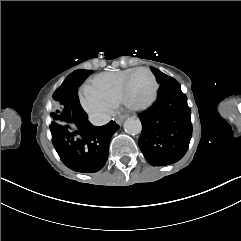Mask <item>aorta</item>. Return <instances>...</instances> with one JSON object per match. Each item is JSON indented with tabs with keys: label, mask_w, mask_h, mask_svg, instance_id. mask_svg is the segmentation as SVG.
<instances>
[{
	"label": "aorta",
	"mask_w": 241,
	"mask_h": 241,
	"mask_svg": "<svg viewBox=\"0 0 241 241\" xmlns=\"http://www.w3.org/2000/svg\"><path fill=\"white\" fill-rule=\"evenodd\" d=\"M124 130L130 135H137L142 131V124L138 118H128L124 122Z\"/></svg>",
	"instance_id": "762f6f07"
}]
</instances>
